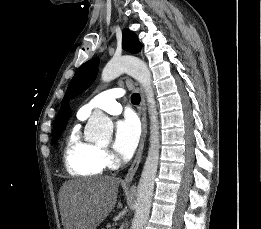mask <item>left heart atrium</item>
<instances>
[{
    "mask_svg": "<svg viewBox=\"0 0 261 229\" xmlns=\"http://www.w3.org/2000/svg\"><path fill=\"white\" fill-rule=\"evenodd\" d=\"M140 137L141 126L137 118L126 117L116 124L113 147L121 157L127 159L136 150Z\"/></svg>",
    "mask_w": 261,
    "mask_h": 229,
    "instance_id": "1",
    "label": "left heart atrium"
}]
</instances>
